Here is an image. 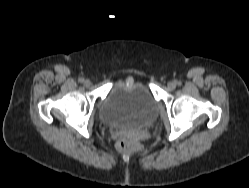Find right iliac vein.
I'll use <instances>...</instances> for the list:
<instances>
[{
    "label": "right iliac vein",
    "mask_w": 249,
    "mask_h": 188,
    "mask_svg": "<svg viewBox=\"0 0 249 188\" xmlns=\"http://www.w3.org/2000/svg\"><path fill=\"white\" fill-rule=\"evenodd\" d=\"M84 85H85L86 87H89V86L91 85V81L88 80V79H86V80L84 81Z\"/></svg>",
    "instance_id": "1"
}]
</instances>
